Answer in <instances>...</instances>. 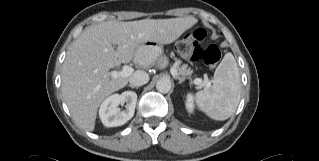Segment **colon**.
Returning <instances> with one entry per match:
<instances>
[{
	"label": "colon",
	"instance_id": "1",
	"mask_svg": "<svg viewBox=\"0 0 319 161\" xmlns=\"http://www.w3.org/2000/svg\"><path fill=\"white\" fill-rule=\"evenodd\" d=\"M205 38V29L196 28L178 42L177 50L179 54L185 58H190L194 62H204L211 66L217 65L221 59V50L216 44H210L205 49L201 48L199 42Z\"/></svg>",
	"mask_w": 319,
	"mask_h": 161
}]
</instances>
